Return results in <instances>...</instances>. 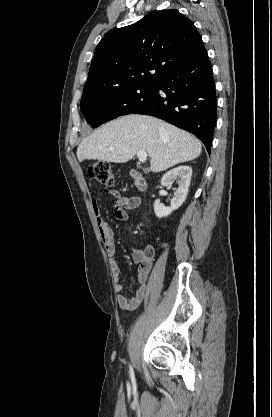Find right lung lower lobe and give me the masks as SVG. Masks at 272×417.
Segmentation results:
<instances>
[{
  "label": "right lung lower lobe",
  "instance_id": "98d812e1",
  "mask_svg": "<svg viewBox=\"0 0 272 417\" xmlns=\"http://www.w3.org/2000/svg\"><path fill=\"white\" fill-rule=\"evenodd\" d=\"M154 84V97L133 113L151 115L193 133L210 152L217 102L205 47L202 45L188 60L159 77Z\"/></svg>",
  "mask_w": 272,
  "mask_h": 417
}]
</instances>
